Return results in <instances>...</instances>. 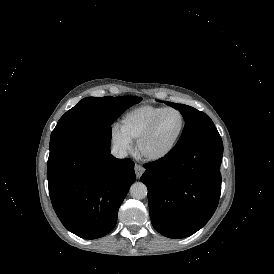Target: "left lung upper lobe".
I'll use <instances>...</instances> for the list:
<instances>
[{"label":"left lung upper lobe","instance_id":"1","mask_svg":"<svg viewBox=\"0 0 274 274\" xmlns=\"http://www.w3.org/2000/svg\"><path fill=\"white\" fill-rule=\"evenodd\" d=\"M165 103L179 110L185 120L181 137L171 151H179L202 141L221 139L214 123L205 113L187 105L167 101Z\"/></svg>","mask_w":274,"mask_h":274}]
</instances>
